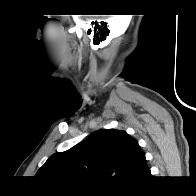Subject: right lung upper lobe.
Returning a JSON list of instances; mask_svg holds the SVG:
<instances>
[{"instance_id":"1","label":"right lung upper lobe","mask_w":196,"mask_h":196,"mask_svg":"<svg viewBox=\"0 0 196 196\" xmlns=\"http://www.w3.org/2000/svg\"><path fill=\"white\" fill-rule=\"evenodd\" d=\"M148 175L138 142L123 130L102 129L71 149L52 155L35 177L55 185L130 186Z\"/></svg>"}]
</instances>
